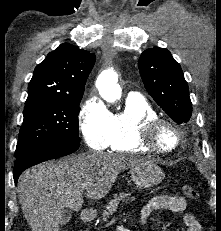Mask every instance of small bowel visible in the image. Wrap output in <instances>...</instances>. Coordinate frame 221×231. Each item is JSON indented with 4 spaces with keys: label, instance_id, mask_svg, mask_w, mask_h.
<instances>
[{
    "label": "small bowel",
    "instance_id": "obj_1",
    "mask_svg": "<svg viewBox=\"0 0 221 231\" xmlns=\"http://www.w3.org/2000/svg\"><path fill=\"white\" fill-rule=\"evenodd\" d=\"M187 202L184 197L177 195H158L152 197L140 211V222L145 225L151 213L158 209H166L176 213L185 212ZM186 231H202L198 220L190 213H185L183 217Z\"/></svg>",
    "mask_w": 221,
    "mask_h": 231
}]
</instances>
